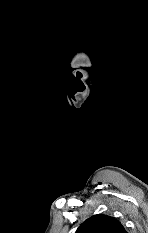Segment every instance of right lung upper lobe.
<instances>
[{
  "label": "right lung upper lobe",
  "instance_id": "1",
  "mask_svg": "<svg viewBox=\"0 0 148 233\" xmlns=\"http://www.w3.org/2000/svg\"><path fill=\"white\" fill-rule=\"evenodd\" d=\"M75 233H127L122 224L107 215H94L82 223Z\"/></svg>",
  "mask_w": 148,
  "mask_h": 233
}]
</instances>
